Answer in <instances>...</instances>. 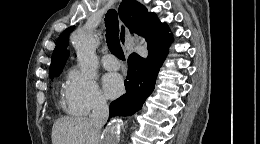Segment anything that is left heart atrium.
Masks as SVG:
<instances>
[{"label":"left heart atrium","instance_id":"left-heart-atrium-1","mask_svg":"<svg viewBox=\"0 0 260 144\" xmlns=\"http://www.w3.org/2000/svg\"><path fill=\"white\" fill-rule=\"evenodd\" d=\"M103 83L106 94L111 98L118 96L123 90V82L118 74H106Z\"/></svg>","mask_w":260,"mask_h":144}]
</instances>
